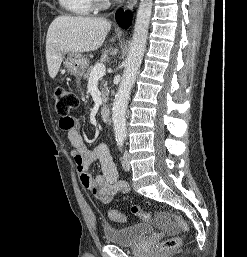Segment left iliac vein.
<instances>
[{
    "label": "left iliac vein",
    "instance_id": "obj_1",
    "mask_svg": "<svg viewBox=\"0 0 247 257\" xmlns=\"http://www.w3.org/2000/svg\"><path fill=\"white\" fill-rule=\"evenodd\" d=\"M122 167L125 171H129L131 166H130V161H129V154L127 151L124 152L122 159H121Z\"/></svg>",
    "mask_w": 247,
    "mask_h": 257
}]
</instances>
